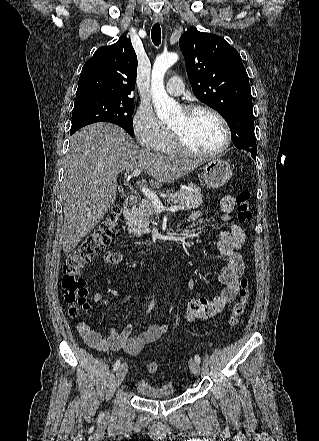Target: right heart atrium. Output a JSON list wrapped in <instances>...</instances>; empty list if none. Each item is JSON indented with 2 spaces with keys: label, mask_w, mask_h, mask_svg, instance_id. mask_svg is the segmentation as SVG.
Here are the masks:
<instances>
[{
  "label": "right heart atrium",
  "mask_w": 319,
  "mask_h": 441,
  "mask_svg": "<svg viewBox=\"0 0 319 441\" xmlns=\"http://www.w3.org/2000/svg\"><path fill=\"white\" fill-rule=\"evenodd\" d=\"M132 129L139 146L148 151H160L168 135L165 125L145 104L140 105L134 114Z\"/></svg>",
  "instance_id": "1"
}]
</instances>
